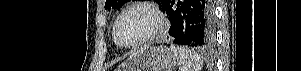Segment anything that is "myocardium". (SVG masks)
Returning a JSON list of instances; mask_svg holds the SVG:
<instances>
[{
  "instance_id": "1",
  "label": "myocardium",
  "mask_w": 301,
  "mask_h": 71,
  "mask_svg": "<svg viewBox=\"0 0 301 71\" xmlns=\"http://www.w3.org/2000/svg\"><path fill=\"white\" fill-rule=\"evenodd\" d=\"M135 8H142V9H145L148 12H150L154 17L155 26H154L153 30L143 39L139 40L136 43L126 44V43L122 42L119 37L118 27H119L122 17L128 11L135 9ZM165 27H166L165 18L163 16L162 12L155 5H153L149 2H145V1H136V2L129 4L125 8H123L121 10V12L118 14V16L114 22V25H113L112 34H113L114 41L116 42V44L118 46H120L122 48H126V49H135V48H139L141 46H144L146 44L153 42L164 31Z\"/></svg>"
}]
</instances>
